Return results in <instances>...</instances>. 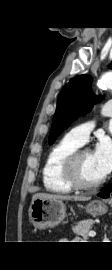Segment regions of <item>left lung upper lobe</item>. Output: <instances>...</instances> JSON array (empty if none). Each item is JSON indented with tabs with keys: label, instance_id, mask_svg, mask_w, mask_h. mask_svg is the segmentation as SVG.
<instances>
[{
	"label": "left lung upper lobe",
	"instance_id": "obj_1",
	"mask_svg": "<svg viewBox=\"0 0 112 270\" xmlns=\"http://www.w3.org/2000/svg\"><path fill=\"white\" fill-rule=\"evenodd\" d=\"M110 68L112 69V64ZM91 83V76L79 75L62 89L53 118L49 144H52L74 120L80 115L89 112L93 105L100 100L91 91Z\"/></svg>",
	"mask_w": 112,
	"mask_h": 270
}]
</instances>
